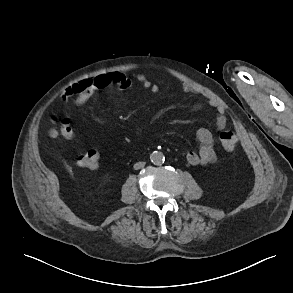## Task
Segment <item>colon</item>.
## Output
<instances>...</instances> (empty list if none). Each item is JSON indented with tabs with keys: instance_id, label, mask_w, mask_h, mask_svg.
<instances>
[{
	"instance_id": "5ec220e1",
	"label": "colon",
	"mask_w": 293,
	"mask_h": 293,
	"mask_svg": "<svg viewBox=\"0 0 293 293\" xmlns=\"http://www.w3.org/2000/svg\"><path fill=\"white\" fill-rule=\"evenodd\" d=\"M51 135L53 137L62 136L64 138H71L73 135L71 122L68 119L62 120L59 124V128L51 131ZM219 139L225 150H234L237 143V137L232 130L222 131L219 135ZM99 160L100 151L95 147H91L78 157L77 163L80 167L95 169L99 164Z\"/></svg>"
}]
</instances>
